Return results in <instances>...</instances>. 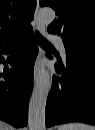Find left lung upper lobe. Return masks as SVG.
Listing matches in <instances>:
<instances>
[{"instance_id": "left-lung-upper-lobe-1", "label": "left lung upper lobe", "mask_w": 95, "mask_h": 130, "mask_svg": "<svg viewBox=\"0 0 95 130\" xmlns=\"http://www.w3.org/2000/svg\"><path fill=\"white\" fill-rule=\"evenodd\" d=\"M52 7L57 18L50 33L61 35L66 46L95 54V0H39Z\"/></svg>"}]
</instances>
